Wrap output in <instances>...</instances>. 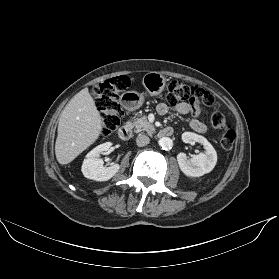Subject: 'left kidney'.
Wrapping results in <instances>:
<instances>
[{
    "label": "left kidney",
    "mask_w": 279,
    "mask_h": 279,
    "mask_svg": "<svg viewBox=\"0 0 279 279\" xmlns=\"http://www.w3.org/2000/svg\"><path fill=\"white\" fill-rule=\"evenodd\" d=\"M182 140L185 143L198 142L203 145L205 153L193 155L188 159L185 153L177 155V161L181 171L189 177H200L213 170L217 162V153L208 140L193 132H184Z\"/></svg>",
    "instance_id": "left-kidney-1"
}]
</instances>
